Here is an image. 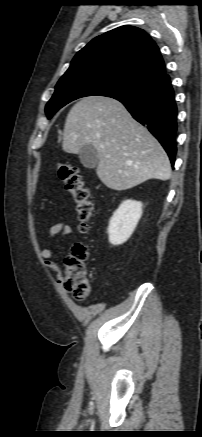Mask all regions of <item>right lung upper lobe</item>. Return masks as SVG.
<instances>
[{"label": "right lung upper lobe", "instance_id": "1", "mask_svg": "<svg viewBox=\"0 0 202 437\" xmlns=\"http://www.w3.org/2000/svg\"><path fill=\"white\" fill-rule=\"evenodd\" d=\"M93 69L152 83L165 74L156 43L142 29L125 25L94 38L73 58L67 72Z\"/></svg>", "mask_w": 202, "mask_h": 437}]
</instances>
